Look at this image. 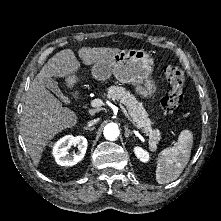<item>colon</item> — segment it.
<instances>
[{"label": "colon", "mask_w": 221, "mask_h": 221, "mask_svg": "<svg viewBox=\"0 0 221 221\" xmlns=\"http://www.w3.org/2000/svg\"><path fill=\"white\" fill-rule=\"evenodd\" d=\"M164 75L171 88L161 100L162 111L165 115L175 112L183 100V86L185 77L183 71L177 66H167Z\"/></svg>", "instance_id": "5ec220e1"}]
</instances>
